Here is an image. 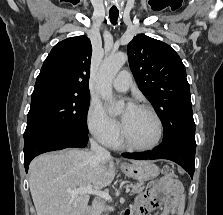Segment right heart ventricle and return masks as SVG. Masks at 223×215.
I'll return each mask as SVG.
<instances>
[{
    "label": "right heart ventricle",
    "instance_id": "obj_1",
    "mask_svg": "<svg viewBox=\"0 0 223 215\" xmlns=\"http://www.w3.org/2000/svg\"><path fill=\"white\" fill-rule=\"evenodd\" d=\"M109 145L114 149H121V147H122L117 138L110 141Z\"/></svg>",
    "mask_w": 223,
    "mask_h": 215
}]
</instances>
